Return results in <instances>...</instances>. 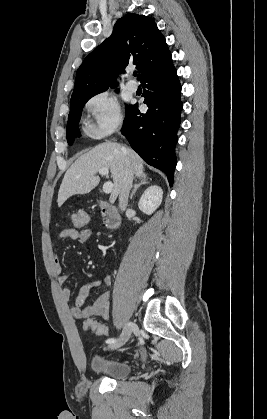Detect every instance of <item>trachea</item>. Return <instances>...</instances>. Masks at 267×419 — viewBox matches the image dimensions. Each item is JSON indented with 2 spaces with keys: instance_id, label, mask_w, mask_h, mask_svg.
I'll list each match as a JSON object with an SVG mask.
<instances>
[{
  "instance_id": "trachea-1",
  "label": "trachea",
  "mask_w": 267,
  "mask_h": 419,
  "mask_svg": "<svg viewBox=\"0 0 267 419\" xmlns=\"http://www.w3.org/2000/svg\"><path fill=\"white\" fill-rule=\"evenodd\" d=\"M133 75L136 76L137 75V71L133 72Z\"/></svg>"
}]
</instances>
